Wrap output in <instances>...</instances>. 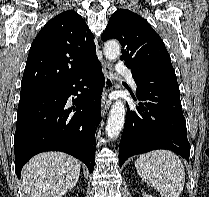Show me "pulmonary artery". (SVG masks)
I'll list each match as a JSON object with an SVG mask.
<instances>
[{
  "mask_svg": "<svg viewBox=\"0 0 209 197\" xmlns=\"http://www.w3.org/2000/svg\"><path fill=\"white\" fill-rule=\"evenodd\" d=\"M117 72L121 75H124L130 82L133 89L137 88V85L133 79L132 70L124 65L119 64L117 66Z\"/></svg>",
  "mask_w": 209,
  "mask_h": 197,
  "instance_id": "1",
  "label": "pulmonary artery"
}]
</instances>
